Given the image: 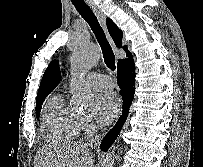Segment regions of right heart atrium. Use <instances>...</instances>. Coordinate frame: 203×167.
Instances as JSON below:
<instances>
[{
  "instance_id": "d8ad5b80",
  "label": "right heart atrium",
  "mask_w": 203,
  "mask_h": 167,
  "mask_svg": "<svg viewBox=\"0 0 203 167\" xmlns=\"http://www.w3.org/2000/svg\"><path fill=\"white\" fill-rule=\"evenodd\" d=\"M80 128L83 131H92L95 128L93 119L90 116H79Z\"/></svg>"
}]
</instances>
